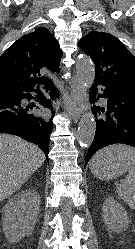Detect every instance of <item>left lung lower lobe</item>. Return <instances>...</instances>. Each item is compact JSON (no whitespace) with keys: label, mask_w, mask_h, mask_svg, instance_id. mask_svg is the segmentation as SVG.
<instances>
[{"label":"left lung lower lobe","mask_w":135,"mask_h":249,"mask_svg":"<svg viewBox=\"0 0 135 249\" xmlns=\"http://www.w3.org/2000/svg\"><path fill=\"white\" fill-rule=\"evenodd\" d=\"M98 83L94 82L90 93V102L106 98V106H94L96 133L87 152L85 166L99 149L115 143L135 147V94L104 86L103 94H98ZM102 85V84H101Z\"/></svg>","instance_id":"left-lung-lower-lobe-1"}]
</instances>
